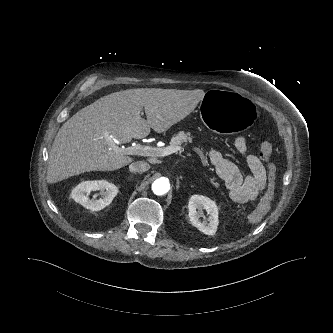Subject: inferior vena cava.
Returning a JSON list of instances; mask_svg holds the SVG:
<instances>
[{
    "instance_id": "602c4592",
    "label": "inferior vena cava",
    "mask_w": 333,
    "mask_h": 333,
    "mask_svg": "<svg viewBox=\"0 0 333 333\" xmlns=\"http://www.w3.org/2000/svg\"><path fill=\"white\" fill-rule=\"evenodd\" d=\"M149 168H150V165L144 161H135L129 165V170L131 172H137V173L146 172L149 170Z\"/></svg>"
}]
</instances>
